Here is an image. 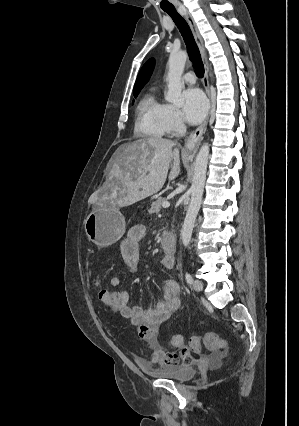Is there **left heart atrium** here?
Masks as SVG:
<instances>
[{"instance_id":"39dd6f15","label":"left heart atrium","mask_w":299,"mask_h":426,"mask_svg":"<svg viewBox=\"0 0 299 426\" xmlns=\"http://www.w3.org/2000/svg\"><path fill=\"white\" fill-rule=\"evenodd\" d=\"M208 110V102L204 94L197 88H189L183 93L182 114L191 124L201 122Z\"/></svg>"}]
</instances>
